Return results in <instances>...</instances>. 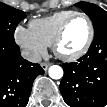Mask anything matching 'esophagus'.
Listing matches in <instances>:
<instances>
[{"mask_svg": "<svg viewBox=\"0 0 107 107\" xmlns=\"http://www.w3.org/2000/svg\"><path fill=\"white\" fill-rule=\"evenodd\" d=\"M50 65H51V63H45V62L41 63V67L45 71L49 68Z\"/></svg>", "mask_w": 107, "mask_h": 107, "instance_id": "esophagus-1", "label": "esophagus"}]
</instances>
